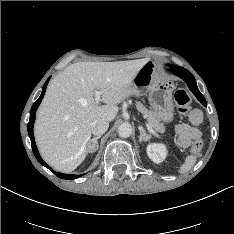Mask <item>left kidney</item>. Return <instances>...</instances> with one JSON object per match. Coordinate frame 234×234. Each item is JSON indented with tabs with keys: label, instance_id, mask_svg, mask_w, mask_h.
Wrapping results in <instances>:
<instances>
[{
	"label": "left kidney",
	"instance_id": "1",
	"mask_svg": "<svg viewBox=\"0 0 234 234\" xmlns=\"http://www.w3.org/2000/svg\"><path fill=\"white\" fill-rule=\"evenodd\" d=\"M147 155L154 163L162 162L167 156L166 146L159 143H152L147 146Z\"/></svg>",
	"mask_w": 234,
	"mask_h": 234
}]
</instances>
